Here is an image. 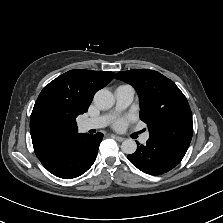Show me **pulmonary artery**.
Returning a JSON list of instances; mask_svg holds the SVG:
<instances>
[{"mask_svg":"<svg viewBox=\"0 0 223 223\" xmlns=\"http://www.w3.org/2000/svg\"><path fill=\"white\" fill-rule=\"evenodd\" d=\"M116 99V108L115 110L121 111L127 108L134 99V89L129 85H120L115 89L114 92ZM112 115H101L94 118L86 119L82 125L85 129H99L106 126L111 120ZM149 139V134L147 132H142L139 137V142L141 144H146Z\"/></svg>","mask_w":223,"mask_h":223,"instance_id":"obj_1","label":"pulmonary artery"}]
</instances>
